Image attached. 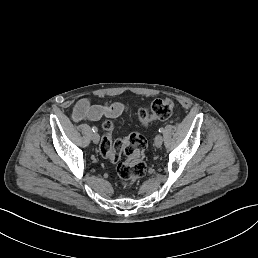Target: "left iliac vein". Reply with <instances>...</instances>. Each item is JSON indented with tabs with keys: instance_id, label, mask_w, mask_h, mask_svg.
Masks as SVG:
<instances>
[{
	"instance_id": "obj_1",
	"label": "left iliac vein",
	"mask_w": 258,
	"mask_h": 258,
	"mask_svg": "<svg viewBox=\"0 0 258 258\" xmlns=\"http://www.w3.org/2000/svg\"><path fill=\"white\" fill-rule=\"evenodd\" d=\"M154 139H155V140H154V141H155V143H154L155 146L158 147V148L161 147L162 144H163V143H162V141H163L162 139H163V138H162L161 134H156V136H155Z\"/></svg>"
}]
</instances>
